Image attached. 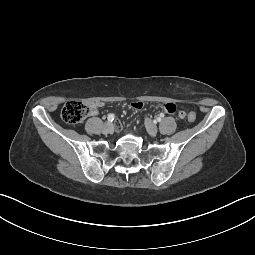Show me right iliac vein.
Listing matches in <instances>:
<instances>
[{"instance_id": "1", "label": "right iliac vein", "mask_w": 255, "mask_h": 255, "mask_svg": "<svg viewBox=\"0 0 255 255\" xmlns=\"http://www.w3.org/2000/svg\"><path fill=\"white\" fill-rule=\"evenodd\" d=\"M113 130V124L111 122H106L104 125H103V133L104 134H109L111 133Z\"/></svg>"}]
</instances>
